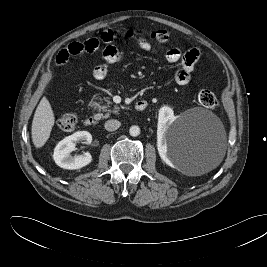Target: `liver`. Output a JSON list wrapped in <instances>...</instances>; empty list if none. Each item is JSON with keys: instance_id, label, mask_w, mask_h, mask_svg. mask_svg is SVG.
Listing matches in <instances>:
<instances>
[{"instance_id": "liver-1", "label": "liver", "mask_w": 267, "mask_h": 267, "mask_svg": "<svg viewBox=\"0 0 267 267\" xmlns=\"http://www.w3.org/2000/svg\"><path fill=\"white\" fill-rule=\"evenodd\" d=\"M55 123L54 113L46 97L39 102L32 121V141L36 148H41L50 137Z\"/></svg>"}]
</instances>
